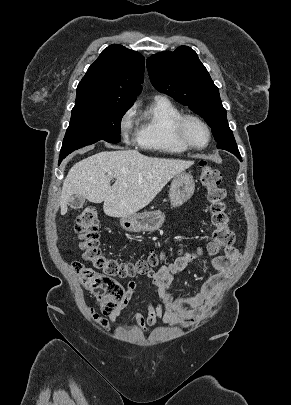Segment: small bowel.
<instances>
[{
  "instance_id": "obj_1",
  "label": "small bowel",
  "mask_w": 291,
  "mask_h": 405,
  "mask_svg": "<svg viewBox=\"0 0 291 405\" xmlns=\"http://www.w3.org/2000/svg\"><path fill=\"white\" fill-rule=\"evenodd\" d=\"M201 253H185L175 259L173 263L165 264L157 271H148L147 277L156 288L158 302L153 304L147 302V313L137 312L133 316V322L141 333H146L148 327L162 322L173 325L179 323L184 328L193 327L202 322L215 306L217 299L227 282L232 276L233 267L240 259L237 248L229 247L224 249L222 256L214 258L210 262L212 269L218 273L210 277L201 287L198 293L189 297H176L170 291V285L175 276L182 272L187 265ZM137 282L130 280L120 301L118 310L110 315L112 323L117 322L119 311L123 309L135 295ZM91 318L104 328L108 327V320L101 318L92 308L89 309Z\"/></svg>"
}]
</instances>
